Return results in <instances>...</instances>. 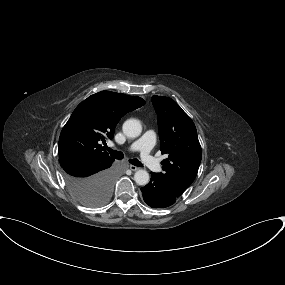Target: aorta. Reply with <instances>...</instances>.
I'll return each mask as SVG.
<instances>
[{
  "mask_svg": "<svg viewBox=\"0 0 285 285\" xmlns=\"http://www.w3.org/2000/svg\"><path fill=\"white\" fill-rule=\"evenodd\" d=\"M123 132L127 137H138L142 132V125L138 119H128L123 123ZM149 173L146 170L140 169L134 174V180L138 185H146L149 182Z\"/></svg>",
  "mask_w": 285,
  "mask_h": 285,
  "instance_id": "aorta-1",
  "label": "aorta"
}]
</instances>
